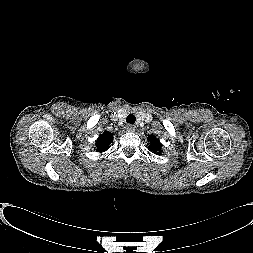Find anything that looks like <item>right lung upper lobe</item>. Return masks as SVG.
<instances>
[{
	"instance_id": "cb5924a9",
	"label": "right lung upper lobe",
	"mask_w": 253,
	"mask_h": 253,
	"mask_svg": "<svg viewBox=\"0 0 253 253\" xmlns=\"http://www.w3.org/2000/svg\"><path fill=\"white\" fill-rule=\"evenodd\" d=\"M113 141V135L110 132H105L103 135H100L96 142V151L102 152L106 151L109 148L110 143Z\"/></svg>"
}]
</instances>
